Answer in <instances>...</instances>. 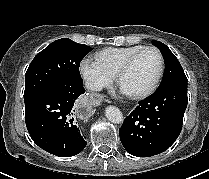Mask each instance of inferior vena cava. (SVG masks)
Segmentation results:
<instances>
[{
    "label": "inferior vena cava",
    "mask_w": 209,
    "mask_h": 179,
    "mask_svg": "<svg viewBox=\"0 0 209 179\" xmlns=\"http://www.w3.org/2000/svg\"><path fill=\"white\" fill-rule=\"evenodd\" d=\"M85 86L87 89L96 90V91L101 89V87L98 84L92 82H86Z\"/></svg>",
    "instance_id": "inferior-vena-cava-1"
}]
</instances>
